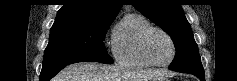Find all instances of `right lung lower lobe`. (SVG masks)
Masks as SVG:
<instances>
[{
	"label": "right lung lower lobe",
	"mask_w": 237,
	"mask_h": 81,
	"mask_svg": "<svg viewBox=\"0 0 237 81\" xmlns=\"http://www.w3.org/2000/svg\"><path fill=\"white\" fill-rule=\"evenodd\" d=\"M76 62H82V61H68V62H55V63L43 64L42 71L40 74V81H49L65 66Z\"/></svg>",
	"instance_id": "98d812e1"
}]
</instances>
